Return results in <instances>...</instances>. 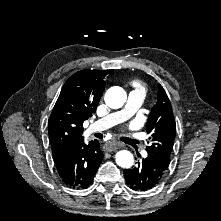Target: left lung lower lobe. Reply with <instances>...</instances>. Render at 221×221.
I'll use <instances>...</instances> for the list:
<instances>
[{
  "label": "left lung lower lobe",
  "mask_w": 221,
  "mask_h": 221,
  "mask_svg": "<svg viewBox=\"0 0 221 221\" xmlns=\"http://www.w3.org/2000/svg\"><path fill=\"white\" fill-rule=\"evenodd\" d=\"M169 163L158 156L148 154L142 163L124 170L125 181L135 191L150 190L161 182Z\"/></svg>",
  "instance_id": "obj_1"
}]
</instances>
